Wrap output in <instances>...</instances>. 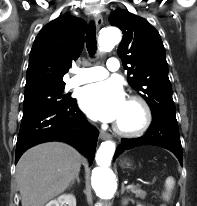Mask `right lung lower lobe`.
<instances>
[{
  "mask_svg": "<svg viewBox=\"0 0 197 206\" xmlns=\"http://www.w3.org/2000/svg\"><path fill=\"white\" fill-rule=\"evenodd\" d=\"M98 133L87 122L75 99L59 108L23 117L16 143L15 164L27 149L48 141H62L72 145L88 157L91 164Z\"/></svg>",
  "mask_w": 197,
  "mask_h": 206,
  "instance_id": "98d812e1",
  "label": "right lung lower lobe"
}]
</instances>
